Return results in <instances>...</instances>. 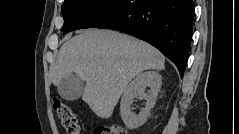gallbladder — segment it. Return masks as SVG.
<instances>
[{"instance_id": "1", "label": "gallbladder", "mask_w": 239, "mask_h": 134, "mask_svg": "<svg viewBox=\"0 0 239 134\" xmlns=\"http://www.w3.org/2000/svg\"><path fill=\"white\" fill-rule=\"evenodd\" d=\"M57 90L63 99L67 101L77 100L83 93L84 82L77 75L70 74L62 78L57 85Z\"/></svg>"}]
</instances>
